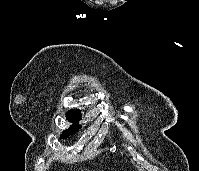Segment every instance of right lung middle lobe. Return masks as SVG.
Here are the masks:
<instances>
[{"label": "right lung middle lobe", "instance_id": "dd1d6c3e", "mask_svg": "<svg viewBox=\"0 0 199 171\" xmlns=\"http://www.w3.org/2000/svg\"><path fill=\"white\" fill-rule=\"evenodd\" d=\"M66 118L68 121L74 123L73 125H71L70 128L64 130L60 136V138H67L69 137V135H71L72 133L78 131L81 126L76 124L81 120V113L79 110H70L66 113Z\"/></svg>", "mask_w": 199, "mask_h": 171}]
</instances>
